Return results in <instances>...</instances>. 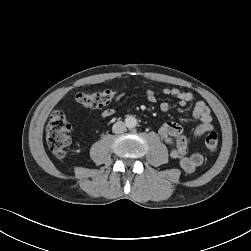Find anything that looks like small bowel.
<instances>
[{"label": "small bowel", "mask_w": 251, "mask_h": 251, "mask_svg": "<svg viewBox=\"0 0 251 251\" xmlns=\"http://www.w3.org/2000/svg\"><path fill=\"white\" fill-rule=\"evenodd\" d=\"M162 95L174 97L181 106L193 102L194 95L191 92L183 91L178 88H165L162 90ZM124 93H120L115 97V101L121 100ZM147 100L151 103H156L158 96L152 89L146 90ZM159 108L162 112L170 110V104L166 101L160 103ZM114 108L105 109L101 116L107 119L114 115ZM194 118L199 120L198 125L192 132V139L197 141L201 136L213 129L212 115L209 107L203 101H197L193 109ZM159 135L170 146V156L176 160L180 167L187 173H192L203 163V156L200 152H194L191 155L187 154V141L183 135L180 125L175 122H166L159 128Z\"/></svg>", "instance_id": "small-bowel-1"}]
</instances>
